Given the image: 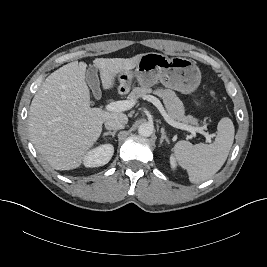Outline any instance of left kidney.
Instances as JSON below:
<instances>
[{
    "instance_id": "1",
    "label": "left kidney",
    "mask_w": 267,
    "mask_h": 267,
    "mask_svg": "<svg viewBox=\"0 0 267 267\" xmlns=\"http://www.w3.org/2000/svg\"><path fill=\"white\" fill-rule=\"evenodd\" d=\"M170 164H171V168L173 170H175L176 169V161H175V158L172 155L170 157Z\"/></svg>"
}]
</instances>
